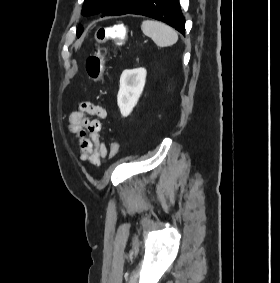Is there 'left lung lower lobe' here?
Listing matches in <instances>:
<instances>
[{"label": "left lung lower lobe", "instance_id": "obj_1", "mask_svg": "<svg viewBox=\"0 0 280 283\" xmlns=\"http://www.w3.org/2000/svg\"><path fill=\"white\" fill-rule=\"evenodd\" d=\"M128 13L163 21L180 33H185V18L181 12L179 0H144Z\"/></svg>", "mask_w": 280, "mask_h": 283}]
</instances>
